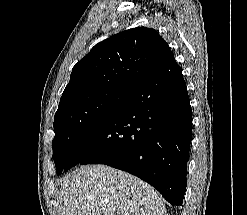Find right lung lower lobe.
<instances>
[{
    "instance_id": "1",
    "label": "right lung lower lobe",
    "mask_w": 247,
    "mask_h": 215,
    "mask_svg": "<svg viewBox=\"0 0 247 215\" xmlns=\"http://www.w3.org/2000/svg\"><path fill=\"white\" fill-rule=\"evenodd\" d=\"M191 139L190 100L172 55L116 114L77 141L68 162L70 168L105 164L129 172L179 206L186 191Z\"/></svg>"
}]
</instances>
